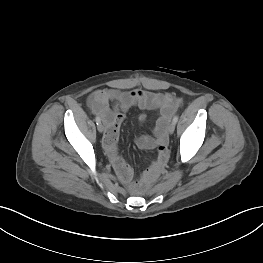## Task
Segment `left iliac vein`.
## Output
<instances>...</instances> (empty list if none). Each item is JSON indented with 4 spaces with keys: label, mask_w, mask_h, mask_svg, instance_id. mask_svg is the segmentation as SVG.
<instances>
[{
    "label": "left iliac vein",
    "mask_w": 263,
    "mask_h": 263,
    "mask_svg": "<svg viewBox=\"0 0 263 263\" xmlns=\"http://www.w3.org/2000/svg\"><path fill=\"white\" fill-rule=\"evenodd\" d=\"M175 130V123L171 122L170 125L168 126V133L172 134Z\"/></svg>",
    "instance_id": "1"
}]
</instances>
